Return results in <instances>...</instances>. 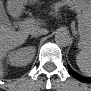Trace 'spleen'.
<instances>
[{
    "mask_svg": "<svg viewBox=\"0 0 91 91\" xmlns=\"http://www.w3.org/2000/svg\"><path fill=\"white\" fill-rule=\"evenodd\" d=\"M77 63L83 72L90 71V51L89 49H82L77 56Z\"/></svg>",
    "mask_w": 91,
    "mask_h": 91,
    "instance_id": "3e777b00",
    "label": "spleen"
}]
</instances>
